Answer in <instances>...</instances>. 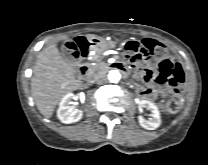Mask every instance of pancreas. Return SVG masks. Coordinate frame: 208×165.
<instances>
[{"label": "pancreas", "mask_w": 208, "mask_h": 165, "mask_svg": "<svg viewBox=\"0 0 208 165\" xmlns=\"http://www.w3.org/2000/svg\"><path fill=\"white\" fill-rule=\"evenodd\" d=\"M107 69L106 64H94L89 66V73L93 76H96L97 73L105 71Z\"/></svg>", "instance_id": "1"}]
</instances>
